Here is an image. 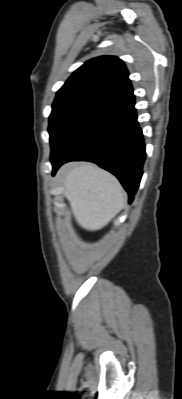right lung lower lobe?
Wrapping results in <instances>:
<instances>
[{"label": "right lung lower lobe", "mask_w": 182, "mask_h": 399, "mask_svg": "<svg viewBox=\"0 0 182 399\" xmlns=\"http://www.w3.org/2000/svg\"><path fill=\"white\" fill-rule=\"evenodd\" d=\"M145 144L133 92L107 102L76 123L51 147L52 175L69 161H90L114 174L129 194L139 187Z\"/></svg>", "instance_id": "right-lung-lower-lobe-1"}]
</instances>
